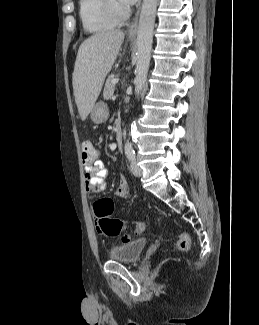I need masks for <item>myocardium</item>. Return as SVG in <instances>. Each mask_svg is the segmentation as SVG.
I'll return each mask as SVG.
<instances>
[{
    "instance_id": "f54148a6",
    "label": "myocardium",
    "mask_w": 259,
    "mask_h": 325,
    "mask_svg": "<svg viewBox=\"0 0 259 325\" xmlns=\"http://www.w3.org/2000/svg\"><path fill=\"white\" fill-rule=\"evenodd\" d=\"M106 13L112 19L122 21L130 14V9L126 5L119 4L116 0H103Z\"/></svg>"
}]
</instances>
